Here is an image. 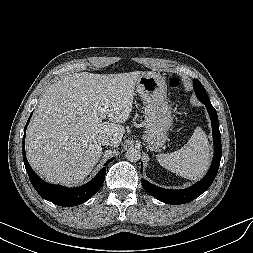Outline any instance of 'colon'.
Returning <instances> with one entry per match:
<instances>
[{
    "label": "colon",
    "instance_id": "1",
    "mask_svg": "<svg viewBox=\"0 0 253 253\" xmlns=\"http://www.w3.org/2000/svg\"><path fill=\"white\" fill-rule=\"evenodd\" d=\"M178 85H179V80L177 78H172L170 80V86L172 88H176V87H178Z\"/></svg>",
    "mask_w": 253,
    "mask_h": 253
}]
</instances>
